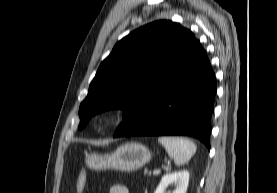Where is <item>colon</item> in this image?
Here are the masks:
<instances>
[{
	"instance_id": "colon-1",
	"label": "colon",
	"mask_w": 277,
	"mask_h": 193,
	"mask_svg": "<svg viewBox=\"0 0 277 193\" xmlns=\"http://www.w3.org/2000/svg\"><path fill=\"white\" fill-rule=\"evenodd\" d=\"M86 181H87V173L85 171H81L76 184V193H82L84 191L86 186Z\"/></svg>"
}]
</instances>
